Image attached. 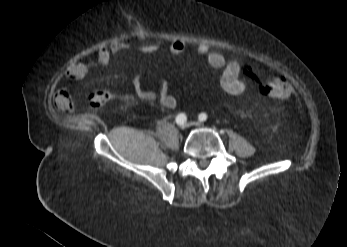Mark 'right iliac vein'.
Wrapping results in <instances>:
<instances>
[{
    "label": "right iliac vein",
    "mask_w": 347,
    "mask_h": 247,
    "mask_svg": "<svg viewBox=\"0 0 347 247\" xmlns=\"http://www.w3.org/2000/svg\"><path fill=\"white\" fill-rule=\"evenodd\" d=\"M182 130H186L189 127V124H183L180 126Z\"/></svg>",
    "instance_id": "right-iliac-vein-1"
}]
</instances>
